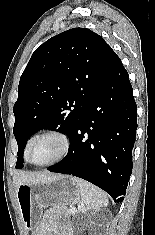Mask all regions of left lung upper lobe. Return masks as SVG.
Returning a JSON list of instances; mask_svg holds the SVG:
<instances>
[{
  "mask_svg": "<svg viewBox=\"0 0 155 235\" xmlns=\"http://www.w3.org/2000/svg\"><path fill=\"white\" fill-rule=\"evenodd\" d=\"M119 60L100 35L84 28L62 32L32 54L13 108L17 169L23 167L25 144L35 132L47 128L71 137L91 98Z\"/></svg>",
  "mask_w": 155,
  "mask_h": 235,
  "instance_id": "left-lung-upper-lobe-1",
  "label": "left lung upper lobe"
}]
</instances>
